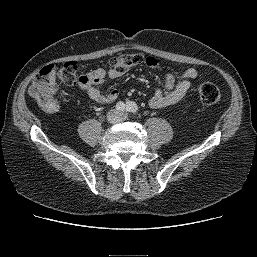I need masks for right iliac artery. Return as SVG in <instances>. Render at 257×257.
Instances as JSON below:
<instances>
[{"instance_id": "1", "label": "right iliac artery", "mask_w": 257, "mask_h": 257, "mask_svg": "<svg viewBox=\"0 0 257 257\" xmlns=\"http://www.w3.org/2000/svg\"><path fill=\"white\" fill-rule=\"evenodd\" d=\"M116 109L119 110V111H124L125 109V104L123 102H118L116 104Z\"/></svg>"}]
</instances>
